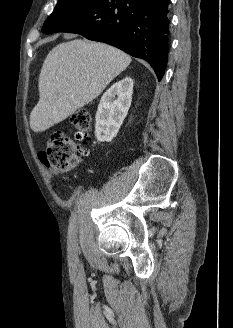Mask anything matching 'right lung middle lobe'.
Segmentation results:
<instances>
[{"instance_id": "right-lung-middle-lobe-1", "label": "right lung middle lobe", "mask_w": 233, "mask_h": 328, "mask_svg": "<svg viewBox=\"0 0 233 328\" xmlns=\"http://www.w3.org/2000/svg\"><path fill=\"white\" fill-rule=\"evenodd\" d=\"M95 0H59L53 13L43 25V32L49 33V28L57 20H60L66 16H69L80 9L87 7Z\"/></svg>"}]
</instances>
